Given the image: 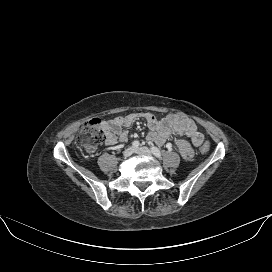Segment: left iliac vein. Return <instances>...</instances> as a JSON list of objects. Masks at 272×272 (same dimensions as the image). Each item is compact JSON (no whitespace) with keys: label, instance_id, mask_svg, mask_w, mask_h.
Instances as JSON below:
<instances>
[{"label":"left iliac vein","instance_id":"left-iliac-vein-1","mask_svg":"<svg viewBox=\"0 0 272 272\" xmlns=\"http://www.w3.org/2000/svg\"><path fill=\"white\" fill-rule=\"evenodd\" d=\"M135 153L139 154V155H145V156H151V151L150 149H148L147 147H140L135 149Z\"/></svg>","mask_w":272,"mask_h":272}]
</instances>
